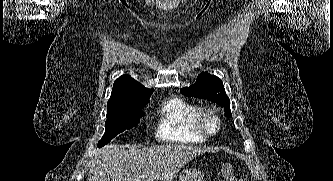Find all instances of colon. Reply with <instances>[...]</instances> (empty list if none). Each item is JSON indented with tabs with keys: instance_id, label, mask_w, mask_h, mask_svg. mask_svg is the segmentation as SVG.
Returning a JSON list of instances; mask_svg holds the SVG:
<instances>
[{
	"instance_id": "obj_1",
	"label": "colon",
	"mask_w": 333,
	"mask_h": 181,
	"mask_svg": "<svg viewBox=\"0 0 333 181\" xmlns=\"http://www.w3.org/2000/svg\"><path fill=\"white\" fill-rule=\"evenodd\" d=\"M221 175L223 176L225 181H239V179L236 176L234 167L230 163H227L222 166Z\"/></svg>"
}]
</instances>
